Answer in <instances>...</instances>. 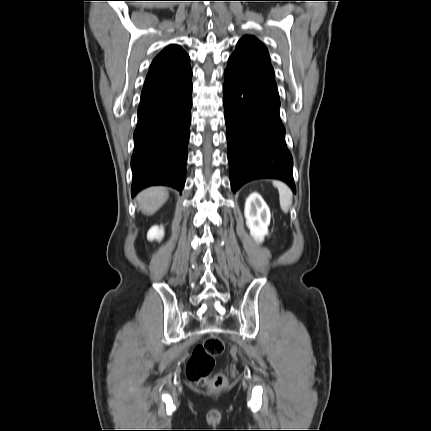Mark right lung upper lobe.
Listing matches in <instances>:
<instances>
[{
  "instance_id": "cb5924a9",
  "label": "right lung upper lobe",
  "mask_w": 431,
  "mask_h": 431,
  "mask_svg": "<svg viewBox=\"0 0 431 431\" xmlns=\"http://www.w3.org/2000/svg\"><path fill=\"white\" fill-rule=\"evenodd\" d=\"M190 75L192 70L187 53L180 46H167L151 63L140 102L170 91Z\"/></svg>"
}]
</instances>
